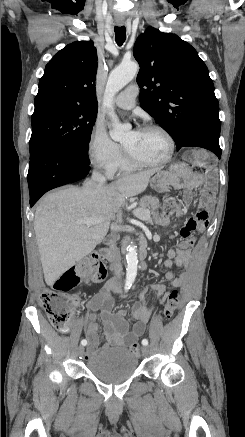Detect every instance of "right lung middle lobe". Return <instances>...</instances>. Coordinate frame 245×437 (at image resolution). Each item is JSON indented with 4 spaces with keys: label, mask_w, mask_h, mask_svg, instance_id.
Wrapping results in <instances>:
<instances>
[{
    "label": "right lung middle lobe",
    "mask_w": 245,
    "mask_h": 437,
    "mask_svg": "<svg viewBox=\"0 0 245 437\" xmlns=\"http://www.w3.org/2000/svg\"><path fill=\"white\" fill-rule=\"evenodd\" d=\"M97 109L62 103L35 106L31 117L30 156L44 146H54L68 153L88 154Z\"/></svg>",
    "instance_id": "dd1d6c3e"
}]
</instances>
